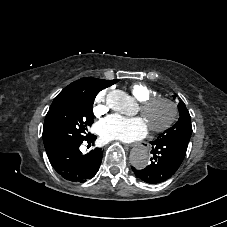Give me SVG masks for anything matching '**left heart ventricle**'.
I'll return each mask as SVG.
<instances>
[{
  "label": "left heart ventricle",
  "instance_id": "1",
  "mask_svg": "<svg viewBox=\"0 0 227 227\" xmlns=\"http://www.w3.org/2000/svg\"><path fill=\"white\" fill-rule=\"evenodd\" d=\"M171 109L166 103H158L148 110L142 118L149 127L162 125L169 117Z\"/></svg>",
  "mask_w": 227,
  "mask_h": 227
}]
</instances>
